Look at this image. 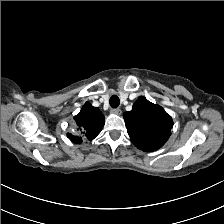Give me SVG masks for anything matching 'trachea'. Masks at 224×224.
Listing matches in <instances>:
<instances>
[{
	"label": "trachea",
	"mask_w": 224,
	"mask_h": 224,
	"mask_svg": "<svg viewBox=\"0 0 224 224\" xmlns=\"http://www.w3.org/2000/svg\"><path fill=\"white\" fill-rule=\"evenodd\" d=\"M109 102H110V106L114 109L117 108L120 104V100L117 95H112Z\"/></svg>",
	"instance_id": "obj_1"
}]
</instances>
